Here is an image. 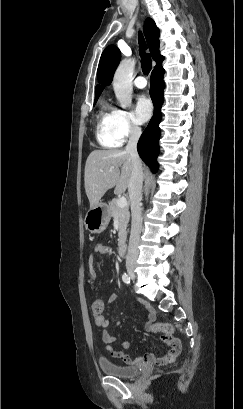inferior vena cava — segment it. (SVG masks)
I'll return each instance as SVG.
<instances>
[{"mask_svg": "<svg viewBox=\"0 0 243 409\" xmlns=\"http://www.w3.org/2000/svg\"><path fill=\"white\" fill-rule=\"evenodd\" d=\"M140 136L141 128L135 125L131 126L130 137L126 146V151L129 153L132 161L131 177L128 184V192L131 201L132 222L128 253L126 256L127 265L133 264L137 260L138 245L142 230L141 200L144 174L141 159L137 152V143Z\"/></svg>", "mask_w": 243, "mask_h": 409, "instance_id": "602c4592", "label": "inferior vena cava"}]
</instances>
